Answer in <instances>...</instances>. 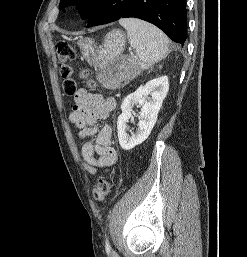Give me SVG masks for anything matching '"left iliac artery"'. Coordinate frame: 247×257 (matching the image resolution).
Listing matches in <instances>:
<instances>
[{"instance_id":"left-iliac-artery-1","label":"left iliac artery","mask_w":247,"mask_h":257,"mask_svg":"<svg viewBox=\"0 0 247 257\" xmlns=\"http://www.w3.org/2000/svg\"><path fill=\"white\" fill-rule=\"evenodd\" d=\"M106 250L110 251V245L108 239H106Z\"/></svg>"}]
</instances>
